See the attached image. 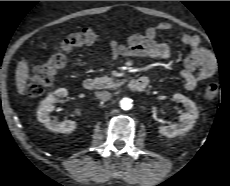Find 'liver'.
I'll use <instances>...</instances> for the list:
<instances>
[{
    "instance_id": "6515ba94",
    "label": "liver",
    "mask_w": 230,
    "mask_h": 186,
    "mask_svg": "<svg viewBox=\"0 0 230 186\" xmlns=\"http://www.w3.org/2000/svg\"><path fill=\"white\" fill-rule=\"evenodd\" d=\"M29 78V66L26 60H21L16 68V86L18 89V93L23 95L26 88V83Z\"/></svg>"
}]
</instances>
